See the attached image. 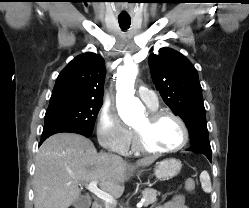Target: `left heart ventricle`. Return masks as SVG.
Returning <instances> with one entry per match:
<instances>
[{"label": "left heart ventricle", "instance_id": "left-heart-ventricle-1", "mask_svg": "<svg viewBox=\"0 0 249 208\" xmlns=\"http://www.w3.org/2000/svg\"><path fill=\"white\" fill-rule=\"evenodd\" d=\"M134 128L142 131L145 143L154 149H170L183 139L180 125L172 118L165 117L154 125L148 124L147 115L138 120Z\"/></svg>", "mask_w": 249, "mask_h": 208}]
</instances>
